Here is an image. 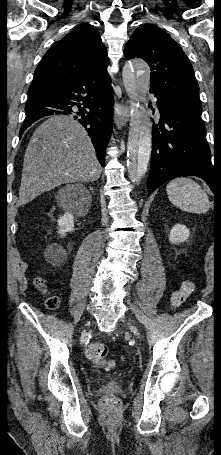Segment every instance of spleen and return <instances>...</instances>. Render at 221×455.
I'll return each instance as SVG.
<instances>
[{"mask_svg": "<svg viewBox=\"0 0 221 455\" xmlns=\"http://www.w3.org/2000/svg\"><path fill=\"white\" fill-rule=\"evenodd\" d=\"M168 198L181 210L192 213H206L210 208L207 194L194 180L178 177L166 187Z\"/></svg>", "mask_w": 221, "mask_h": 455, "instance_id": "spleen-1", "label": "spleen"}]
</instances>
